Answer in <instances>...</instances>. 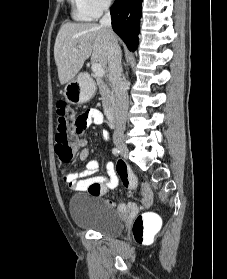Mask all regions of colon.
<instances>
[{
	"mask_svg": "<svg viewBox=\"0 0 227 279\" xmlns=\"http://www.w3.org/2000/svg\"><path fill=\"white\" fill-rule=\"evenodd\" d=\"M56 111V134H55V152L62 162H69L75 156V145L73 134L82 130L86 114L78 117L74 116L72 108L63 101H59L55 105ZM119 174H127L128 170L125 165L117 167ZM89 189L92 192H100L102 190L98 183H91ZM156 225L152 221L149 213L140 214L133 225V235L137 241H145L155 232Z\"/></svg>",
	"mask_w": 227,
	"mask_h": 279,
	"instance_id": "5ec220e1",
	"label": "colon"
}]
</instances>
